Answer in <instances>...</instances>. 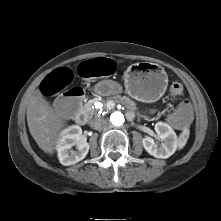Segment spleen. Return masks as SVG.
<instances>
[{
    "label": "spleen",
    "instance_id": "1",
    "mask_svg": "<svg viewBox=\"0 0 221 221\" xmlns=\"http://www.w3.org/2000/svg\"><path fill=\"white\" fill-rule=\"evenodd\" d=\"M189 134H190L189 129L184 128L183 132L180 134L179 139H178V147L180 149L183 148L186 145L187 140L189 138Z\"/></svg>",
    "mask_w": 221,
    "mask_h": 221
}]
</instances>
